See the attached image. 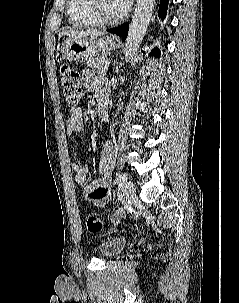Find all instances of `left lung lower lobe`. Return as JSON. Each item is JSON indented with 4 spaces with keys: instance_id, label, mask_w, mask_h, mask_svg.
I'll list each match as a JSON object with an SVG mask.
<instances>
[{
    "instance_id": "obj_1",
    "label": "left lung lower lobe",
    "mask_w": 239,
    "mask_h": 303,
    "mask_svg": "<svg viewBox=\"0 0 239 303\" xmlns=\"http://www.w3.org/2000/svg\"><path fill=\"white\" fill-rule=\"evenodd\" d=\"M167 5H168V0H160L159 16L162 19L165 18ZM128 30H129V25H128V23H125V24H123L119 27L108 29L107 31L110 32V33L117 34L118 36H120L122 38L123 41H125V39L127 37V34H128ZM150 56L159 57L160 52L158 51V49H154L150 53Z\"/></svg>"
}]
</instances>
